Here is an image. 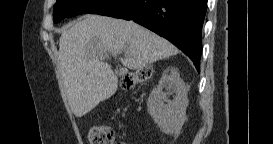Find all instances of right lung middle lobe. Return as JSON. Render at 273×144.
<instances>
[{
    "label": "right lung middle lobe",
    "instance_id": "1",
    "mask_svg": "<svg viewBox=\"0 0 273 144\" xmlns=\"http://www.w3.org/2000/svg\"><path fill=\"white\" fill-rule=\"evenodd\" d=\"M109 0H57L54 5L53 20L58 23L66 17L87 14Z\"/></svg>",
    "mask_w": 273,
    "mask_h": 144
}]
</instances>
